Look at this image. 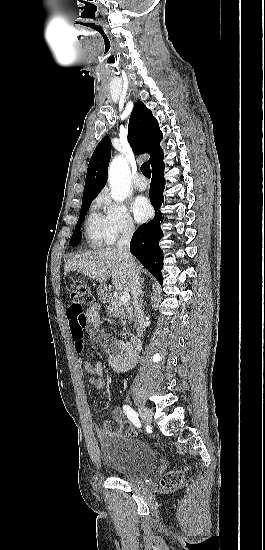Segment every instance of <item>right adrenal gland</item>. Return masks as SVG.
Segmentation results:
<instances>
[{"mask_svg":"<svg viewBox=\"0 0 265 550\" xmlns=\"http://www.w3.org/2000/svg\"><path fill=\"white\" fill-rule=\"evenodd\" d=\"M143 284H144V281H142L141 284H140V297H141V299L143 298V295H144V293H145V292L143 291Z\"/></svg>","mask_w":265,"mask_h":550,"instance_id":"right-adrenal-gland-1","label":"right adrenal gland"}]
</instances>
